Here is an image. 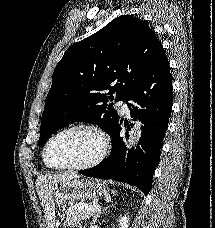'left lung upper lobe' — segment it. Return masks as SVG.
<instances>
[{
	"instance_id": "obj_1",
	"label": "left lung upper lobe",
	"mask_w": 215,
	"mask_h": 228,
	"mask_svg": "<svg viewBox=\"0 0 215 228\" xmlns=\"http://www.w3.org/2000/svg\"><path fill=\"white\" fill-rule=\"evenodd\" d=\"M162 49L147 22L132 15L70 46L54 69L38 146L76 121L97 124L111 136L120 117L107 102L126 101Z\"/></svg>"
}]
</instances>
